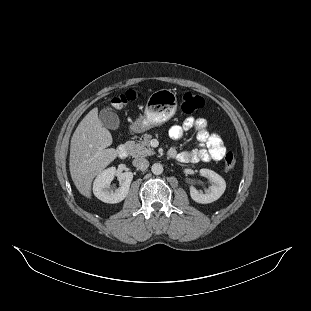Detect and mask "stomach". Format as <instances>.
Here are the masks:
<instances>
[{
	"label": "stomach",
	"instance_id": "1",
	"mask_svg": "<svg viewBox=\"0 0 311 311\" xmlns=\"http://www.w3.org/2000/svg\"><path fill=\"white\" fill-rule=\"evenodd\" d=\"M177 96L171 89L152 93L146 103L144 114L129 126L132 133H143L169 121L177 111Z\"/></svg>",
	"mask_w": 311,
	"mask_h": 311
}]
</instances>
